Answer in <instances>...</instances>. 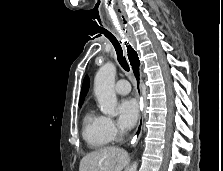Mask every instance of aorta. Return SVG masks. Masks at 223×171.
Here are the masks:
<instances>
[{
  "label": "aorta",
  "instance_id": "obj_1",
  "mask_svg": "<svg viewBox=\"0 0 223 171\" xmlns=\"http://www.w3.org/2000/svg\"><path fill=\"white\" fill-rule=\"evenodd\" d=\"M116 67L106 63L96 73L94 79V93L103 114L116 116L117 97L114 91ZM138 163L133 162L129 171H137Z\"/></svg>",
  "mask_w": 223,
  "mask_h": 171
}]
</instances>
